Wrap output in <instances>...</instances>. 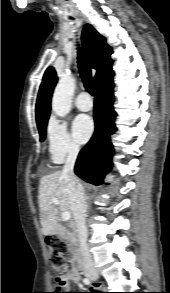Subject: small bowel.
Instances as JSON below:
<instances>
[{"instance_id": "obj_1", "label": "small bowel", "mask_w": 170, "mask_h": 293, "mask_svg": "<svg viewBox=\"0 0 170 293\" xmlns=\"http://www.w3.org/2000/svg\"><path fill=\"white\" fill-rule=\"evenodd\" d=\"M67 280L70 282V283H74V284H77V285H81V280H80V276L79 274L76 272V271H71L67 274Z\"/></svg>"}]
</instances>
